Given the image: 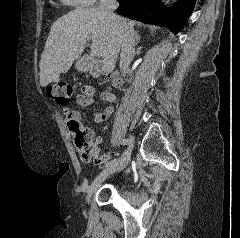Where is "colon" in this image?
<instances>
[{"instance_id":"5ec220e1","label":"colon","mask_w":240,"mask_h":238,"mask_svg":"<svg viewBox=\"0 0 240 238\" xmlns=\"http://www.w3.org/2000/svg\"><path fill=\"white\" fill-rule=\"evenodd\" d=\"M72 87L67 83L51 84L47 87L48 96L56 101L58 104L66 103L72 95ZM70 131L74 136L76 147L82 153L86 160H90L93 154V148L96 146L92 140L93 133L90 129L83 128L77 120H70L68 122Z\"/></svg>"}]
</instances>
